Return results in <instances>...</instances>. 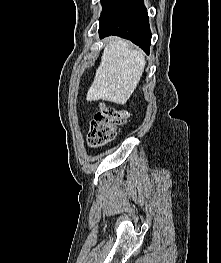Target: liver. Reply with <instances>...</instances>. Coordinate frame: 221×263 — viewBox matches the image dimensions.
Returning <instances> with one entry per match:
<instances>
[{
	"label": "liver",
	"mask_w": 221,
	"mask_h": 263,
	"mask_svg": "<svg viewBox=\"0 0 221 263\" xmlns=\"http://www.w3.org/2000/svg\"><path fill=\"white\" fill-rule=\"evenodd\" d=\"M146 62L143 53L124 39H112L104 48L87 101L124 105L136 89Z\"/></svg>",
	"instance_id": "liver-1"
}]
</instances>
